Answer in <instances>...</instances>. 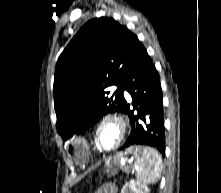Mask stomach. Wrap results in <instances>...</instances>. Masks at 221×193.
<instances>
[{"instance_id":"stomach-1","label":"stomach","mask_w":221,"mask_h":193,"mask_svg":"<svg viewBox=\"0 0 221 193\" xmlns=\"http://www.w3.org/2000/svg\"><path fill=\"white\" fill-rule=\"evenodd\" d=\"M67 138H72V133L66 134ZM65 155H71V159H76L78 167H89L87 159L90 155V150H85V142H70V147L65 150Z\"/></svg>"}]
</instances>
